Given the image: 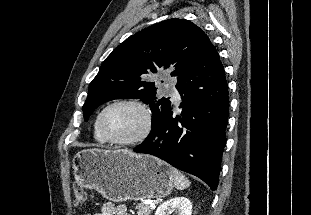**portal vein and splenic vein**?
Wrapping results in <instances>:
<instances>
[{
  "mask_svg": "<svg viewBox=\"0 0 311 215\" xmlns=\"http://www.w3.org/2000/svg\"><path fill=\"white\" fill-rule=\"evenodd\" d=\"M150 208L154 209L156 207V205L154 203H148Z\"/></svg>",
  "mask_w": 311,
  "mask_h": 215,
  "instance_id": "18ae733b",
  "label": "portal vein and splenic vein"
}]
</instances>
